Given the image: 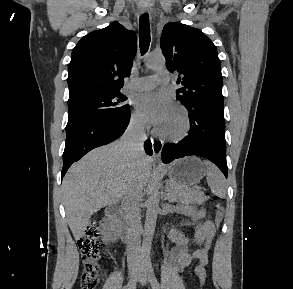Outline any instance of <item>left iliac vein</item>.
Here are the masks:
<instances>
[{"instance_id":"4c4485c4","label":"left iliac vein","mask_w":293,"mask_h":289,"mask_svg":"<svg viewBox=\"0 0 293 289\" xmlns=\"http://www.w3.org/2000/svg\"><path fill=\"white\" fill-rule=\"evenodd\" d=\"M138 267H139L138 281L142 285H144L146 284V270L142 260L139 261Z\"/></svg>"}]
</instances>
